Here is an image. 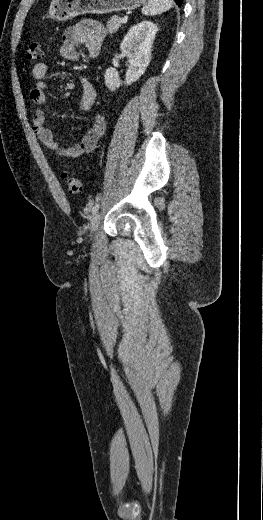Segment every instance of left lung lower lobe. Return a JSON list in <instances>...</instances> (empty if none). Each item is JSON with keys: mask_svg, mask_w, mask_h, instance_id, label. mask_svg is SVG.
I'll return each mask as SVG.
<instances>
[{"mask_svg": "<svg viewBox=\"0 0 263 520\" xmlns=\"http://www.w3.org/2000/svg\"><path fill=\"white\" fill-rule=\"evenodd\" d=\"M178 6H181L183 0H174Z\"/></svg>", "mask_w": 263, "mask_h": 520, "instance_id": "left-lung-lower-lobe-1", "label": "left lung lower lobe"}]
</instances>
